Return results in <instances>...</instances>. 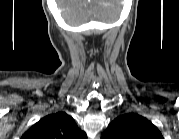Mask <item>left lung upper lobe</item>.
I'll use <instances>...</instances> for the list:
<instances>
[{"label": "left lung upper lobe", "mask_w": 179, "mask_h": 139, "mask_svg": "<svg viewBox=\"0 0 179 139\" xmlns=\"http://www.w3.org/2000/svg\"><path fill=\"white\" fill-rule=\"evenodd\" d=\"M107 139H163L160 131L146 118L135 113L114 119L103 133Z\"/></svg>", "instance_id": "1"}]
</instances>
